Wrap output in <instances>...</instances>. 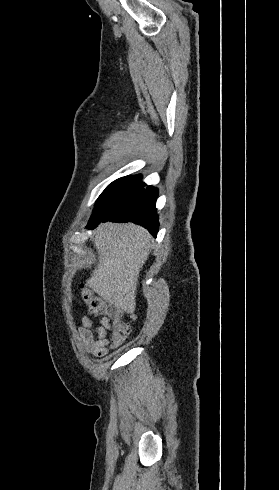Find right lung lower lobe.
<instances>
[{"mask_svg":"<svg viewBox=\"0 0 279 490\" xmlns=\"http://www.w3.org/2000/svg\"><path fill=\"white\" fill-rule=\"evenodd\" d=\"M140 184L126 189L108 203L106 212L99 218L90 220L87 228H95L100 222H134L148 229L153 236L158 232L156 198L158 189L153 186L144 188Z\"/></svg>","mask_w":279,"mask_h":490,"instance_id":"1","label":"right lung lower lobe"}]
</instances>
